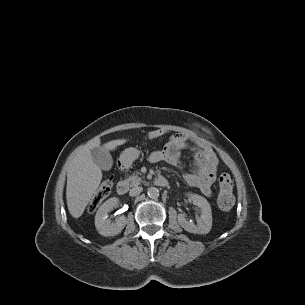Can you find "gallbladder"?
Listing matches in <instances>:
<instances>
[{"mask_svg": "<svg viewBox=\"0 0 305 305\" xmlns=\"http://www.w3.org/2000/svg\"><path fill=\"white\" fill-rule=\"evenodd\" d=\"M91 156L95 164L103 170H110L113 165V159L110 152L104 147H95L91 150Z\"/></svg>", "mask_w": 305, "mask_h": 305, "instance_id": "obj_1", "label": "gallbladder"}]
</instances>
